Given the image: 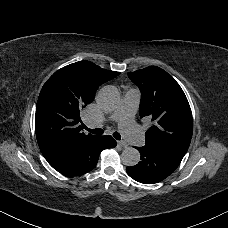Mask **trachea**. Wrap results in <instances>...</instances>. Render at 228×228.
<instances>
[{
	"label": "trachea",
	"instance_id": "1",
	"mask_svg": "<svg viewBox=\"0 0 228 228\" xmlns=\"http://www.w3.org/2000/svg\"><path fill=\"white\" fill-rule=\"evenodd\" d=\"M84 128L92 134L102 135L104 133V130L101 128L90 129V128H87L86 126H84ZM113 137L117 140L121 139V135L118 132H114Z\"/></svg>",
	"mask_w": 228,
	"mask_h": 228
}]
</instances>
